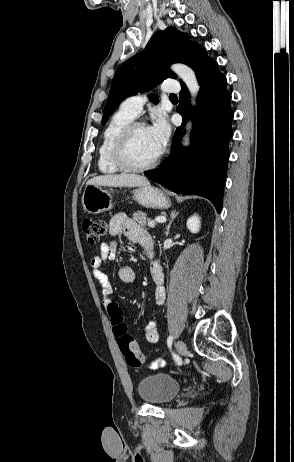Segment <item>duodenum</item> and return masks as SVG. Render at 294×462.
Segmentation results:
<instances>
[{
    "label": "duodenum",
    "mask_w": 294,
    "mask_h": 462,
    "mask_svg": "<svg viewBox=\"0 0 294 462\" xmlns=\"http://www.w3.org/2000/svg\"><path fill=\"white\" fill-rule=\"evenodd\" d=\"M145 250H146L148 256H151V255H152V247H151V246L146 245V246H145Z\"/></svg>",
    "instance_id": "obj_1"
}]
</instances>
